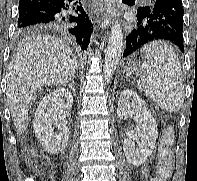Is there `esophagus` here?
Returning a JSON list of instances; mask_svg holds the SVG:
<instances>
[{"instance_id": "esophagus-1", "label": "esophagus", "mask_w": 197, "mask_h": 181, "mask_svg": "<svg viewBox=\"0 0 197 181\" xmlns=\"http://www.w3.org/2000/svg\"><path fill=\"white\" fill-rule=\"evenodd\" d=\"M101 1L104 4V8L106 12V18L104 22L107 26H109L111 23V20L116 15V7H115L116 0H101Z\"/></svg>"}]
</instances>
